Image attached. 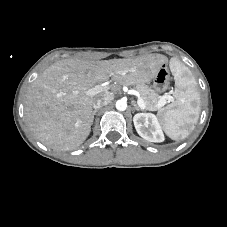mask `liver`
<instances>
[{"instance_id": "6515ba94", "label": "liver", "mask_w": 227, "mask_h": 227, "mask_svg": "<svg viewBox=\"0 0 227 227\" xmlns=\"http://www.w3.org/2000/svg\"><path fill=\"white\" fill-rule=\"evenodd\" d=\"M167 57L149 54L134 59L95 61L71 58L49 66L28 87L24 117L28 129L44 145L58 151L78 148L88 137L94 120L96 95L87 91L110 77L120 85L150 82Z\"/></svg>"}]
</instances>
